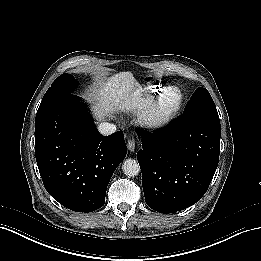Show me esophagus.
<instances>
[{
	"label": "esophagus",
	"mask_w": 261,
	"mask_h": 261,
	"mask_svg": "<svg viewBox=\"0 0 261 261\" xmlns=\"http://www.w3.org/2000/svg\"><path fill=\"white\" fill-rule=\"evenodd\" d=\"M135 147H136L135 140H133V139L128 140V143H127V148H128V150H129L130 152H134Z\"/></svg>",
	"instance_id": "obj_1"
}]
</instances>
